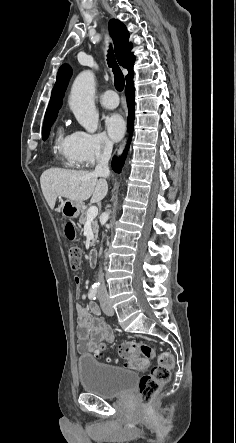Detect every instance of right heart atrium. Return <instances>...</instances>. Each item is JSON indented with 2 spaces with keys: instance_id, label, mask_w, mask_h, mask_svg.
Wrapping results in <instances>:
<instances>
[{
  "instance_id": "d8ad5b80",
  "label": "right heart atrium",
  "mask_w": 236,
  "mask_h": 443,
  "mask_svg": "<svg viewBox=\"0 0 236 443\" xmlns=\"http://www.w3.org/2000/svg\"><path fill=\"white\" fill-rule=\"evenodd\" d=\"M107 142L99 135L77 130L71 134V151L79 164L92 166L107 150Z\"/></svg>"
}]
</instances>
